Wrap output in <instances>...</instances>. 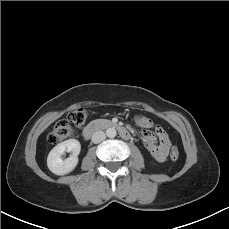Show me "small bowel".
Listing matches in <instances>:
<instances>
[{"label": "small bowel", "mask_w": 229, "mask_h": 229, "mask_svg": "<svg viewBox=\"0 0 229 229\" xmlns=\"http://www.w3.org/2000/svg\"><path fill=\"white\" fill-rule=\"evenodd\" d=\"M141 123L139 126L143 130V144L149 151L153 159L157 162H164L168 156L171 147L170 140L162 128L157 127L156 132H152L149 128L152 127V121L147 117H140Z\"/></svg>", "instance_id": "small-bowel-1"}]
</instances>
